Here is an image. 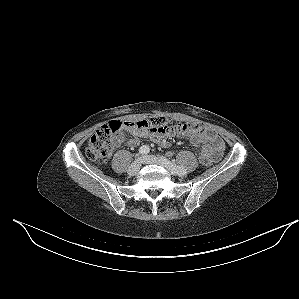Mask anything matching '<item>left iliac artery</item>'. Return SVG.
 <instances>
[{
  "instance_id": "left-iliac-artery-1",
  "label": "left iliac artery",
  "mask_w": 299,
  "mask_h": 299,
  "mask_svg": "<svg viewBox=\"0 0 299 299\" xmlns=\"http://www.w3.org/2000/svg\"><path fill=\"white\" fill-rule=\"evenodd\" d=\"M171 169L178 175H185L187 173L186 169L182 166L176 165L174 162H170L165 157H160Z\"/></svg>"
}]
</instances>
